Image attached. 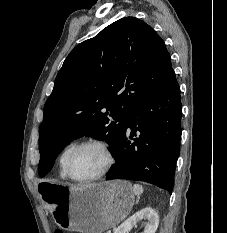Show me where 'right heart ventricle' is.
I'll return each instance as SVG.
<instances>
[{"label": "right heart ventricle", "mask_w": 227, "mask_h": 233, "mask_svg": "<svg viewBox=\"0 0 227 233\" xmlns=\"http://www.w3.org/2000/svg\"><path fill=\"white\" fill-rule=\"evenodd\" d=\"M75 144L71 143L69 145H67L64 150L61 152L60 156H59V159H58V173H59V176L60 178L62 179H67V175H66V172H65V159H66V156L68 154V152L72 149V147L74 146Z\"/></svg>", "instance_id": "right-heart-ventricle-1"}]
</instances>
